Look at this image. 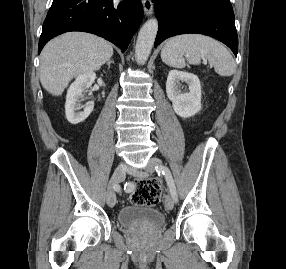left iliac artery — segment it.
Segmentation results:
<instances>
[{
    "label": "left iliac artery",
    "instance_id": "left-iliac-artery-1",
    "mask_svg": "<svg viewBox=\"0 0 286 269\" xmlns=\"http://www.w3.org/2000/svg\"><path fill=\"white\" fill-rule=\"evenodd\" d=\"M156 171L159 173L161 172L165 176L167 184L169 186L170 193L174 201L177 202L178 201L177 191H176L175 183H174L170 170L164 166H157Z\"/></svg>",
    "mask_w": 286,
    "mask_h": 269
}]
</instances>
